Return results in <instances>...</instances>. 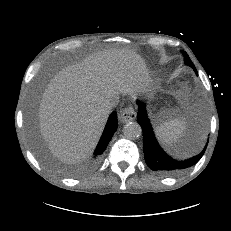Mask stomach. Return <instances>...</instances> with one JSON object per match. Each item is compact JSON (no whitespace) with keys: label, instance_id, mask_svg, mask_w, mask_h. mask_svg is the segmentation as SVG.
<instances>
[{"label":"stomach","instance_id":"obj_1","mask_svg":"<svg viewBox=\"0 0 231 231\" xmlns=\"http://www.w3.org/2000/svg\"><path fill=\"white\" fill-rule=\"evenodd\" d=\"M154 94H155V88L153 87V88H151L150 90H149V97L150 98H153V96H154Z\"/></svg>","mask_w":231,"mask_h":231}]
</instances>
